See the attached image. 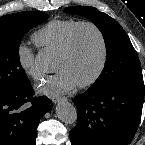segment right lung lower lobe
<instances>
[{"mask_svg": "<svg viewBox=\"0 0 145 145\" xmlns=\"http://www.w3.org/2000/svg\"><path fill=\"white\" fill-rule=\"evenodd\" d=\"M50 109L47 97H34L30 82L0 91V145H35L39 121Z\"/></svg>", "mask_w": 145, "mask_h": 145, "instance_id": "1", "label": "right lung lower lobe"}]
</instances>
